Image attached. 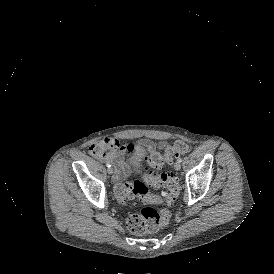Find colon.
<instances>
[{
    "instance_id": "5ec220e1",
    "label": "colon",
    "mask_w": 274,
    "mask_h": 274,
    "mask_svg": "<svg viewBox=\"0 0 274 274\" xmlns=\"http://www.w3.org/2000/svg\"><path fill=\"white\" fill-rule=\"evenodd\" d=\"M174 150L181 155H188L190 146L182 139L175 141L173 146L164 144L155 157L144 159L141 162V169L146 171L141 180L119 184L116 187L115 196L117 200L126 205L132 197H149V187H155L161 189L164 193L162 202H173L178 195L179 184L173 172L165 171V165L171 160ZM168 222L169 212L166 209L157 210L152 207H145L140 212L127 217L126 228L132 234L141 236L158 231L166 226Z\"/></svg>"
}]
</instances>
